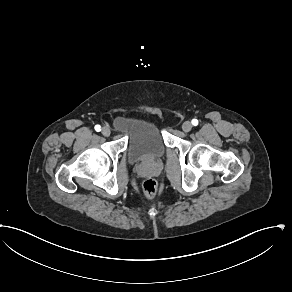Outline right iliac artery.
<instances>
[{"label":"right iliac artery","mask_w":292,"mask_h":292,"mask_svg":"<svg viewBox=\"0 0 292 292\" xmlns=\"http://www.w3.org/2000/svg\"><path fill=\"white\" fill-rule=\"evenodd\" d=\"M94 128H95L96 131H101V126L100 125H96Z\"/></svg>","instance_id":"1"}]
</instances>
